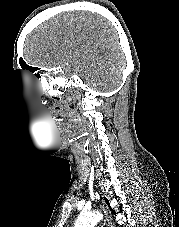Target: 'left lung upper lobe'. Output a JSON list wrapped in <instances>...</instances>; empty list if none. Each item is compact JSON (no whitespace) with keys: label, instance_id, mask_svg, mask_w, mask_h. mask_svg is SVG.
I'll return each mask as SVG.
<instances>
[{"label":"left lung upper lobe","instance_id":"1","mask_svg":"<svg viewBox=\"0 0 179 227\" xmlns=\"http://www.w3.org/2000/svg\"><path fill=\"white\" fill-rule=\"evenodd\" d=\"M104 199H105V202L108 204V206H109L110 210H111V211L115 214V211L111 209V207H110V204H109L108 200H107L106 198H104Z\"/></svg>","mask_w":179,"mask_h":227}]
</instances>
